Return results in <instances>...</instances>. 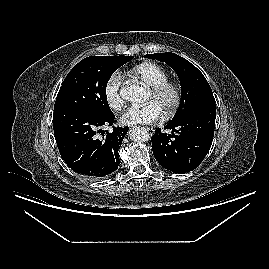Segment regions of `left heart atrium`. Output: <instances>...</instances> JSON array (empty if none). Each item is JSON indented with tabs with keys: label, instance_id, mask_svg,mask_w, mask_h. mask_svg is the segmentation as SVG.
Returning a JSON list of instances; mask_svg holds the SVG:
<instances>
[{
	"label": "left heart atrium",
	"instance_id": "obj_1",
	"mask_svg": "<svg viewBox=\"0 0 269 269\" xmlns=\"http://www.w3.org/2000/svg\"><path fill=\"white\" fill-rule=\"evenodd\" d=\"M162 116L161 110L154 102L144 106L128 108L120 118L123 125L151 124L157 122Z\"/></svg>",
	"mask_w": 269,
	"mask_h": 269
}]
</instances>
